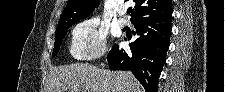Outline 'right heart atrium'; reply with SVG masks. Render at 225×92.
I'll list each match as a JSON object with an SVG mask.
<instances>
[{"label": "right heart atrium", "mask_w": 225, "mask_h": 92, "mask_svg": "<svg viewBox=\"0 0 225 92\" xmlns=\"http://www.w3.org/2000/svg\"><path fill=\"white\" fill-rule=\"evenodd\" d=\"M106 30L95 19L76 24L71 30V53L81 62L93 60L106 51Z\"/></svg>", "instance_id": "d8ad5b80"}]
</instances>
